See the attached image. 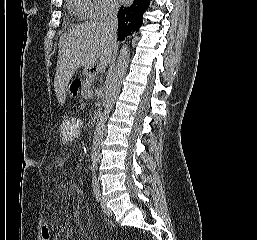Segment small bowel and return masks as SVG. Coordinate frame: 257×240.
Returning a JSON list of instances; mask_svg holds the SVG:
<instances>
[{"mask_svg": "<svg viewBox=\"0 0 257 240\" xmlns=\"http://www.w3.org/2000/svg\"><path fill=\"white\" fill-rule=\"evenodd\" d=\"M73 234L69 219H65L53 240H70Z\"/></svg>", "mask_w": 257, "mask_h": 240, "instance_id": "1", "label": "small bowel"}]
</instances>
